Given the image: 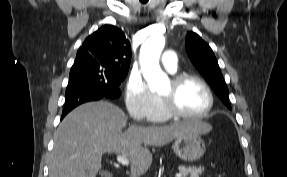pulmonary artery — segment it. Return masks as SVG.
Listing matches in <instances>:
<instances>
[{
	"mask_svg": "<svg viewBox=\"0 0 287 177\" xmlns=\"http://www.w3.org/2000/svg\"><path fill=\"white\" fill-rule=\"evenodd\" d=\"M162 64L171 73H174L177 70V58L174 50L168 49L164 52Z\"/></svg>",
	"mask_w": 287,
	"mask_h": 177,
	"instance_id": "1",
	"label": "pulmonary artery"
}]
</instances>
